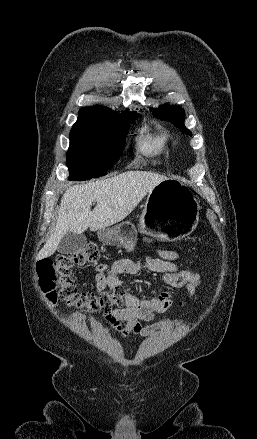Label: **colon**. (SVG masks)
Wrapping results in <instances>:
<instances>
[{"label":"colon","instance_id":"obj_1","mask_svg":"<svg viewBox=\"0 0 257 439\" xmlns=\"http://www.w3.org/2000/svg\"><path fill=\"white\" fill-rule=\"evenodd\" d=\"M98 256L97 246L89 244L76 253L40 261L37 265L38 282L48 303L55 305L63 301L68 306L102 314L108 313L113 306L123 307L128 295L125 286L99 292H79L73 280L72 271L76 266L93 263ZM162 280L171 287H183L200 284L201 277L196 272L181 270L173 274L165 273Z\"/></svg>","mask_w":257,"mask_h":439}]
</instances>
